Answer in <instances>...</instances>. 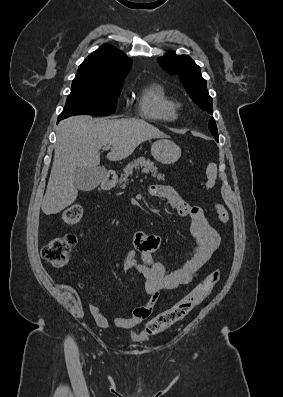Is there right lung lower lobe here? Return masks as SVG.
Segmentation results:
<instances>
[{
    "label": "right lung lower lobe",
    "instance_id": "1",
    "mask_svg": "<svg viewBox=\"0 0 283 397\" xmlns=\"http://www.w3.org/2000/svg\"><path fill=\"white\" fill-rule=\"evenodd\" d=\"M60 120H61V119L58 118V122H59ZM58 122H57V123H58Z\"/></svg>",
    "mask_w": 283,
    "mask_h": 397
}]
</instances>
